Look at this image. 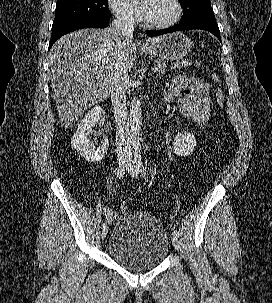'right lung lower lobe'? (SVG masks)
Listing matches in <instances>:
<instances>
[{
	"label": "right lung lower lobe",
	"instance_id": "98d812e1",
	"mask_svg": "<svg viewBox=\"0 0 272 303\" xmlns=\"http://www.w3.org/2000/svg\"><path fill=\"white\" fill-rule=\"evenodd\" d=\"M108 25L109 19L80 18L52 26V36L49 42V48H51L55 41H57L61 36L71 31L88 27L105 28Z\"/></svg>",
	"mask_w": 272,
	"mask_h": 303
}]
</instances>
